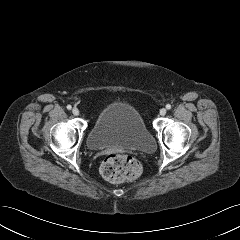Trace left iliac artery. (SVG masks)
I'll return each instance as SVG.
<instances>
[{"label":"left iliac artery","mask_w":240,"mask_h":240,"mask_svg":"<svg viewBox=\"0 0 240 240\" xmlns=\"http://www.w3.org/2000/svg\"><path fill=\"white\" fill-rule=\"evenodd\" d=\"M166 108L169 110V109H171V105L170 104H167L166 105Z\"/></svg>","instance_id":"44dca946"}]
</instances>
